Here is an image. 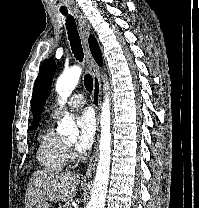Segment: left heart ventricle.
<instances>
[{"instance_id":"1","label":"left heart ventricle","mask_w":199,"mask_h":208,"mask_svg":"<svg viewBox=\"0 0 199 208\" xmlns=\"http://www.w3.org/2000/svg\"><path fill=\"white\" fill-rule=\"evenodd\" d=\"M74 142H75V141L73 140V141H71L70 143H72V144H73Z\"/></svg>"}]
</instances>
